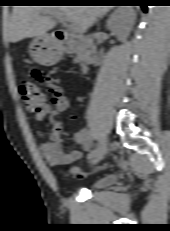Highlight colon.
<instances>
[{
    "label": "colon",
    "instance_id": "1",
    "mask_svg": "<svg viewBox=\"0 0 170 231\" xmlns=\"http://www.w3.org/2000/svg\"><path fill=\"white\" fill-rule=\"evenodd\" d=\"M18 90L26 108L32 113L38 112L43 104V94L39 87L31 80L23 79L19 82ZM102 168L103 166L97 167L93 172L101 170ZM70 173L80 179L87 175L86 172L78 167L71 168Z\"/></svg>",
    "mask_w": 170,
    "mask_h": 231
}]
</instances>
